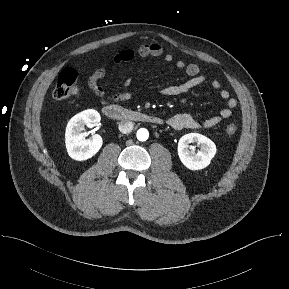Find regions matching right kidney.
I'll return each instance as SVG.
<instances>
[{
	"mask_svg": "<svg viewBox=\"0 0 289 289\" xmlns=\"http://www.w3.org/2000/svg\"><path fill=\"white\" fill-rule=\"evenodd\" d=\"M101 120L100 114L93 109L78 113L70 119L65 132V144L69 156L77 161H84L93 157L102 147L103 139L95 134L86 139L85 125L93 126Z\"/></svg>",
	"mask_w": 289,
	"mask_h": 289,
	"instance_id": "right-kidney-1",
	"label": "right kidney"
}]
</instances>
